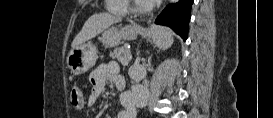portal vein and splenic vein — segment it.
Returning a JSON list of instances; mask_svg holds the SVG:
<instances>
[{
  "label": "portal vein and splenic vein",
  "mask_w": 273,
  "mask_h": 118,
  "mask_svg": "<svg viewBox=\"0 0 273 118\" xmlns=\"http://www.w3.org/2000/svg\"><path fill=\"white\" fill-rule=\"evenodd\" d=\"M132 57H131V55H129L128 57H127V60H130Z\"/></svg>",
  "instance_id": "1"
}]
</instances>
